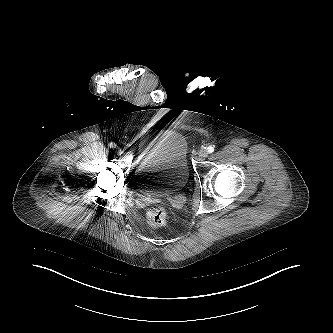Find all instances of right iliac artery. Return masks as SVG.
Segmentation results:
<instances>
[{"label":"right iliac artery","mask_w":333,"mask_h":333,"mask_svg":"<svg viewBox=\"0 0 333 333\" xmlns=\"http://www.w3.org/2000/svg\"><path fill=\"white\" fill-rule=\"evenodd\" d=\"M109 146H110V148H115V147H116V144L113 143V142H111V143L109 144Z\"/></svg>","instance_id":"1"}]
</instances>
